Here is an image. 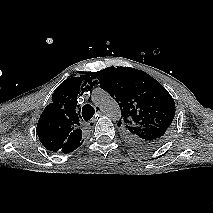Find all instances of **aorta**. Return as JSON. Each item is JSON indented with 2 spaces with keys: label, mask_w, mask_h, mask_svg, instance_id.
Segmentation results:
<instances>
[{
  "label": "aorta",
  "mask_w": 213,
  "mask_h": 213,
  "mask_svg": "<svg viewBox=\"0 0 213 213\" xmlns=\"http://www.w3.org/2000/svg\"><path fill=\"white\" fill-rule=\"evenodd\" d=\"M93 101L103 110V112L113 121H118L121 117L119 105L113 97L106 91L97 89L93 93Z\"/></svg>",
  "instance_id": "762f6f07"
}]
</instances>
